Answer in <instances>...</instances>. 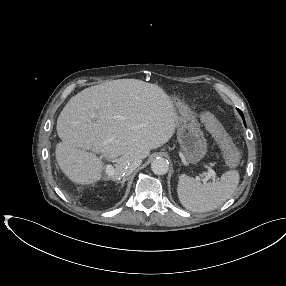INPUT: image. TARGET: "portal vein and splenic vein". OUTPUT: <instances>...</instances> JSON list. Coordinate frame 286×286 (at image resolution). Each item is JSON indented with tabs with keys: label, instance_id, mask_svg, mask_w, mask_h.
I'll return each mask as SVG.
<instances>
[{
	"label": "portal vein and splenic vein",
	"instance_id": "1",
	"mask_svg": "<svg viewBox=\"0 0 286 286\" xmlns=\"http://www.w3.org/2000/svg\"><path fill=\"white\" fill-rule=\"evenodd\" d=\"M105 169H106V173L109 175V176H111V175H113L114 174V167L111 165V164H107L106 165V167H105ZM209 179H212V180H215L216 179V176H215V172H214V170H212V169H208V172H207V174L205 175V177L202 179V181L204 182V183H206Z\"/></svg>",
	"mask_w": 286,
	"mask_h": 286
}]
</instances>
